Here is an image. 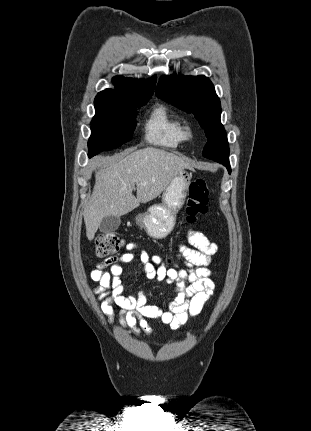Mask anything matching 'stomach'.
<instances>
[{"label":"stomach","mask_w":311,"mask_h":431,"mask_svg":"<svg viewBox=\"0 0 311 431\" xmlns=\"http://www.w3.org/2000/svg\"><path fill=\"white\" fill-rule=\"evenodd\" d=\"M191 184V174L182 170L178 172L161 196V204H153L145 214L135 216L139 227L146 231L149 237L163 239L173 231L182 206L186 202Z\"/></svg>","instance_id":"obj_1"}]
</instances>
